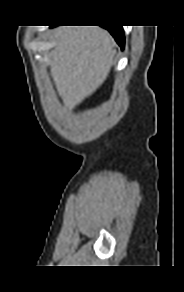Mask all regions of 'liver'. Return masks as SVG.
<instances>
[{
  "mask_svg": "<svg viewBox=\"0 0 184 292\" xmlns=\"http://www.w3.org/2000/svg\"><path fill=\"white\" fill-rule=\"evenodd\" d=\"M51 75L69 109L93 94L106 80L116 54L111 35L98 26L59 27Z\"/></svg>",
  "mask_w": 184,
  "mask_h": 292,
  "instance_id": "6515ba94",
  "label": "liver"
}]
</instances>
